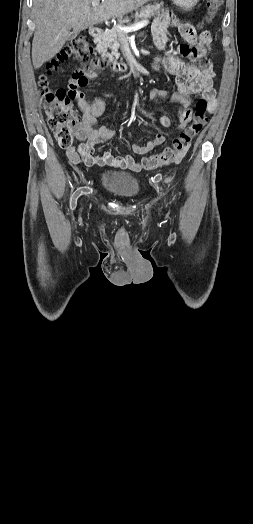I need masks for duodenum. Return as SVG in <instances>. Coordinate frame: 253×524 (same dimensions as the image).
I'll list each match as a JSON object with an SVG mask.
<instances>
[{"instance_id": "1", "label": "duodenum", "mask_w": 253, "mask_h": 524, "mask_svg": "<svg viewBox=\"0 0 253 524\" xmlns=\"http://www.w3.org/2000/svg\"><path fill=\"white\" fill-rule=\"evenodd\" d=\"M102 34H103L102 30L99 28L93 27L90 30V35L96 41L102 37ZM109 66L111 69H113L116 72H125L129 69L127 64L122 63V62H117V61H111L109 63Z\"/></svg>"}]
</instances>
